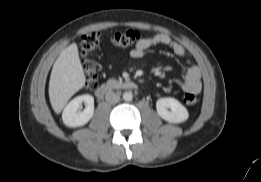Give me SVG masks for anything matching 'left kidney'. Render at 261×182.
Wrapping results in <instances>:
<instances>
[{
    "label": "left kidney",
    "instance_id": "1",
    "mask_svg": "<svg viewBox=\"0 0 261 182\" xmlns=\"http://www.w3.org/2000/svg\"><path fill=\"white\" fill-rule=\"evenodd\" d=\"M158 115L169 123H182L189 118L187 109L175 98H161L156 102Z\"/></svg>",
    "mask_w": 261,
    "mask_h": 182
}]
</instances>
